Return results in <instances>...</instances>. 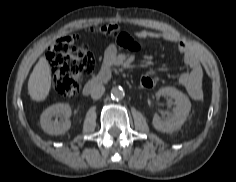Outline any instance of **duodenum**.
Masks as SVG:
<instances>
[{
	"mask_svg": "<svg viewBox=\"0 0 236 182\" xmlns=\"http://www.w3.org/2000/svg\"><path fill=\"white\" fill-rule=\"evenodd\" d=\"M110 79V72L108 69H103L101 73L97 76L92 77L87 83L84 85L83 94L89 95L97 86L102 83L108 82Z\"/></svg>",
	"mask_w": 236,
	"mask_h": 182,
	"instance_id": "obj_1",
	"label": "duodenum"
}]
</instances>
